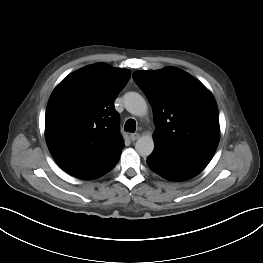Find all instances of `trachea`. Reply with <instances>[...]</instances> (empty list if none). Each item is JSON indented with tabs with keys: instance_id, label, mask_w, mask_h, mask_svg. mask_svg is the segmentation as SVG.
<instances>
[{
	"instance_id": "3493384b",
	"label": "trachea",
	"mask_w": 263,
	"mask_h": 263,
	"mask_svg": "<svg viewBox=\"0 0 263 263\" xmlns=\"http://www.w3.org/2000/svg\"><path fill=\"white\" fill-rule=\"evenodd\" d=\"M124 130L126 132H135L136 130V121L134 119H128L125 123Z\"/></svg>"
}]
</instances>
